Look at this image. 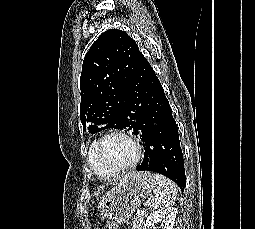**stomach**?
Listing matches in <instances>:
<instances>
[{
    "label": "stomach",
    "mask_w": 255,
    "mask_h": 229,
    "mask_svg": "<svg viewBox=\"0 0 255 229\" xmlns=\"http://www.w3.org/2000/svg\"><path fill=\"white\" fill-rule=\"evenodd\" d=\"M155 187L156 182L150 172L126 174L102 200L101 217L118 224L127 222L139 208L141 200L151 196Z\"/></svg>",
    "instance_id": "1"
}]
</instances>
